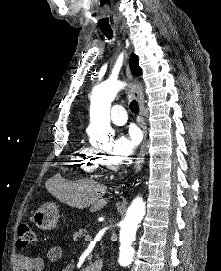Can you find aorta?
<instances>
[{
    "mask_svg": "<svg viewBox=\"0 0 221 271\" xmlns=\"http://www.w3.org/2000/svg\"><path fill=\"white\" fill-rule=\"evenodd\" d=\"M125 86L118 80H107L95 90L91 101V121L94 127L102 133L111 132L110 107L117 93ZM145 215V203L141 197H136L130 204L120 229V247L118 263L122 267L129 266L134 257L132 246L136 238L138 225Z\"/></svg>",
    "mask_w": 221,
    "mask_h": 271,
    "instance_id": "obj_1",
    "label": "aorta"
}]
</instances>
